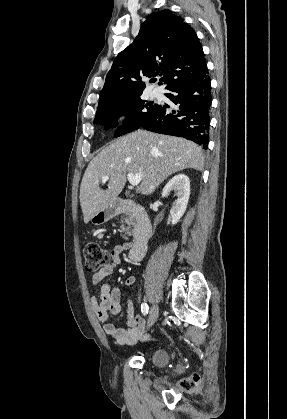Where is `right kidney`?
Wrapping results in <instances>:
<instances>
[{"label":"right kidney","instance_id":"obj_1","mask_svg":"<svg viewBox=\"0 0 287 419\" xmlns=\"http://www.w3.org/2000/svg\"><path fill=\"white\" fill-rule=\"evenodd\" d=\"M171 191H175V195L177 196V199L170 210L172 224L175 225L184 215L187 208L190 196L189 178L185 174H178L174 176L163 188L162 196H168Z\"/></svg>","mask_w":287,"mask_h":419}]
</instances>
